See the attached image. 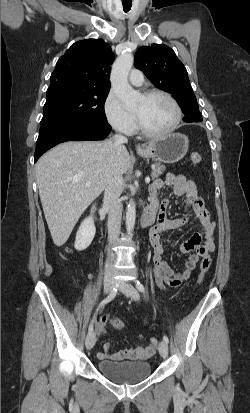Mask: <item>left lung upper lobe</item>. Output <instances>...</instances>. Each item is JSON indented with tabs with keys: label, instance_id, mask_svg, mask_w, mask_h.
Instances as JSON below:
<instances>
[{
	"label": "left lung upper lobe",
	"instance_id": "left-lung-upper-lobe-1",
	"mask_svg": "<svg viewBox=\"0 0 250 413\" xmlns=\"http://www.w3.org/2000/svg\"><path fill=\"white\" fill-rule=\"evenodd\" d=\"M134 66L156 87L172 94L185 116H202L187 70L170 47L164 44L140 47L135 55Z\"/></svg>",
	"mask_w": 250,
	"mask_h": 413
}]
</instances>
